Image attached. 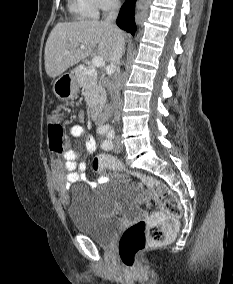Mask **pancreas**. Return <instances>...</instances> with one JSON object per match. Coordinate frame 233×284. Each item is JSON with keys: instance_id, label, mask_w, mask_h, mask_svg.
<instances>
[{"instance_id": "cf45deb5", "label": "pancreas", "mask_w": 233, "mask_h": 284, "mask_svg": "<svg viewBox=\"0 0 233 284\" xmlns=\"http://www.w3.org/2000/svg\"><path fill=\"white\" fill-rule=\"evenodd\" d=\"M81 73V83L83 84L86 94L85 100L89 107H101L106 102V92L100 81L96 71L92 66L84 69H78Z\"/></svg>"}]
</instances>
